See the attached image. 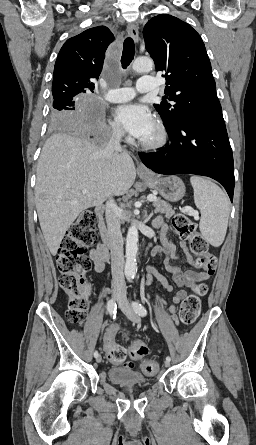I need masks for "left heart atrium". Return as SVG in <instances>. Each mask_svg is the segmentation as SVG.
Wrapping results in <instances>:
<instances>
[{
	"label": "left heart atrium",
	"instance_id": "obj_1",
	"mask_svg": "<svg viewBox=\"0 0 256 445\" xmlns=\"http://www.w3.org/2000/svg\"><path fill=\"white\" fill-rule=\"evenodd\" d=\"M115 118L121 127L133 137L143 140L154 129L150 111L138 104H126L115 110Z\"/></svg>",
	"mask_w": 256,
	"mask_h": 445
}]
</instances>
